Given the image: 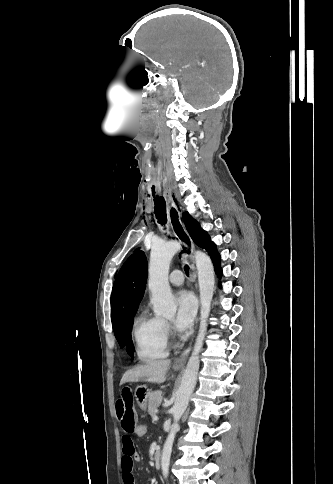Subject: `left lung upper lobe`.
Masks as SVG:
<instances>
[{"instance_id":"left-lung-upper-lobe-1","label":"left lung upper lobe","mask_w":333,"mask_h":484,"mask_svg":"<svg viewBox=\"0 0 333 484\" xmlns=\"http://www.w3.org/2000/svg\"><path fill=\"white\" fill-rule=\"evenodd\" d=\"M182 218L192 240L198 246H202V239L206 232L201 229L198 222L188 212L183 213Z\"/></svg>"}]
</instances>
